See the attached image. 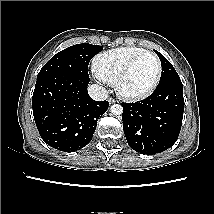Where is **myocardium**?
Masks as SVG:
<instances>
[{
    "mask_svg": "<svg viewBox=\"0 0 214 214\" xmlns=\"http://www.w3.org/2000/svg\"><path fill=\"white\" fill-rule=\"evenodd\" d=\"M145 55H150L154 58L156 65H157V73H156V77L154 82L152 83V85L145 91L140 92V93H128L125 92L122 88L123 83L125 81V79L127 78V76L129 75V73L131 72L133 66L136 64V62L141 59L143 56ZM161 76H162V64L160 62V59L158 58V56L151 52V51H143L139 54H137L136 56H134L123 68V70L121 71L120 75L118 76V79L116 81V91L118 93V95L126 100L129 101H138V100H142L147 98L148 96H150L158 87L160 80H161Z\"/></svg>",
    "mask_w": 214,
    "mask_h": 214,
    "instance_id": "1",
    "label": "myocardium"
}]
</instances>
